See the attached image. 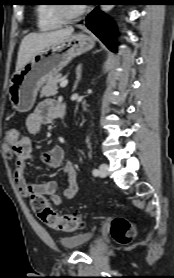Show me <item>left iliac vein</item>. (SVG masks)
<instances>
[{
  "label": "left iliac vein",
  "instance_id": "left-iliac-vein-1",
  "mask_svg": "<svg viewBox=\"0 0 174 278\" xmlns=\"http://www.w3.org/2000/svg\"><path fill=\"white\" fill-rule=\"evenodd\" d=\"M107 169H108V166L106 164H101L99 166V174L98 175L102 178L106 177L108 174Z\"/></svg>",
  "mask_w": 174,
  "mask_h": 278
}]
</instances>
